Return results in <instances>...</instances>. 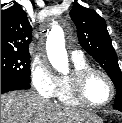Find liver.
Wrapping results in <instances>:
<instances>
[{"instance_id":"obj_1","label":"liver","mask_w":122,"mask_h":123,"mask_svg":"<svg viewBox=\"0 0 122 123\" xmlns=\"http://www.w3.org/2000/svg\"><path fill=\"white\" fill-rule=\"evenodd\" d=\"M94 116L54 104L33 91L1 95V123H84Z\"/></svg>"}]
</instances>
